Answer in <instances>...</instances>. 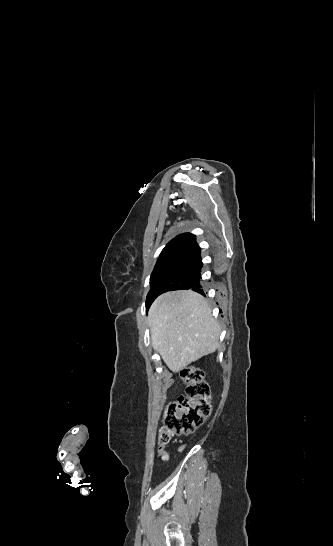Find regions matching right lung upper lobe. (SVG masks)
Listing matches in <instances>:
<instances>
[{
	"label": "right lung upper lobe",
	"mask_w": 333,
	"mask_h": 546,
	"mask_svg": "<svg viewBox=\"0 0 333 546\" xmlns=\"http://www.w3.org/2000/svg\"><path fill=\"white\" fill-rule=\"evenodd\" d=\"M199 247L195 235L191 233L180 234L172 239L163 249L165 251H185L188 252L192 249Z\"/></svg>",
	"instance_id": "cb5924a9"
}]
</instances>
